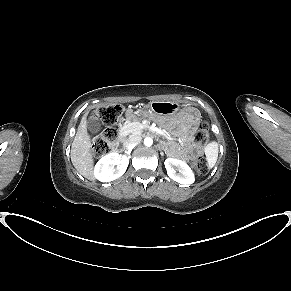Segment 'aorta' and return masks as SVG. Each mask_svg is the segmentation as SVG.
<instances>
[{"label":"aorta","instance_id":"1","mask_svg":"<svg viewBox=\"0 0 291 291\" xmlns=\"http://www.w3.org/2000/svg\"><path fill=\"white\" fill-rule=\"evenodd\" d=\"M152 144H153V139L151 137H146L144 139V145L145 146L150 147V146H152Z\"/></svg>","mask_w":291,"mask_h":291}]
</instances>
